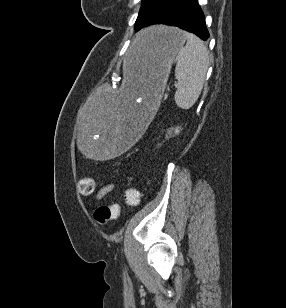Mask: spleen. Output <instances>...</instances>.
Returning a JSON list of instances; mask_svg holds the SVG:
<instances>
[{
    "instance_id": "obj_1",
    "label": "spleen",
    "mask_w": 286,
    "mask_h": 308,
    "mask_svg": "<svg viewBox=\"0 0 286 308\" xmlns=\"http://www.w3.org/2000/svg\"><path fill=\"white\" fill-rule=\"evenodd\" d=\"M187 40L179 53L175 68L178 80L174 99L181 109H190L197 101L209 67V54L204 43L194 34L184 32Z\"/></svg>"
}]
</instances>
